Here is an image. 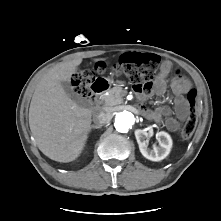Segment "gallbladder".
Listing matches in <instances>:
<instances>
[{
	"mask_svg": "<svg viewBox=\"0 0 221 221\" xmlns=\"http://www.w3.org/2000/svg\"><path fill=\"white\" fill-rule=\"evenodd\" d=\"M61 85L67 94H69V95L73 94V87H72L69 80H63L61 82Z\"/></svg>",
	"mask_w": 221,
	"mask_h": 221,
	"instance_id": "1",
	"label": "gallbladder"
}]
</instances>
